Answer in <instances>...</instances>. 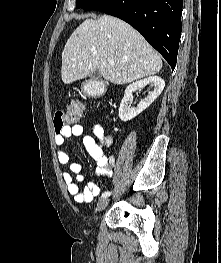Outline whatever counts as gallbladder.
<instances>
[{"instance_id": "1", "label": "gallbladder", "mask_w": 221, "mask_h": 263, "mask_svg": "<svg viewBox=\"0 0 221 263\" xmlns=\"http://www.w3.org/2000/svg\"><path fill=\"white\" fill-rule=\"evenodd\" d=\"M100 79H101V74L99 70L94 71V73L91 75V80L99 81Z\"/></svg>"}]
</instances>
